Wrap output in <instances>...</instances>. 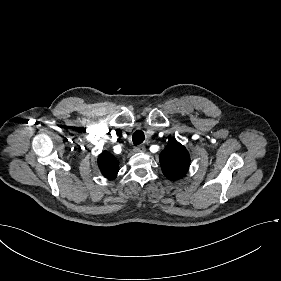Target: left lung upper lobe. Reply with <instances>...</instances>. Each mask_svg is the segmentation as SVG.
<instances>
[{
    "label": "left lung upper lobe",
    "mask_w": 281,
    "mask_h": 281,
    "mask_svg": "<svg viewBox=\"0 0 281 281\" xmlns=\"http://www.w3.org/2000/svg\"><path fill=\"white\" fill-rule=\"evenodd\" d=\"M163 174L170 180H179L185 176L190 165V156L180 143L170 142L160 154Z\"/></svg>",
    "instance_id": "5c2ea615"
}]
</instances>
